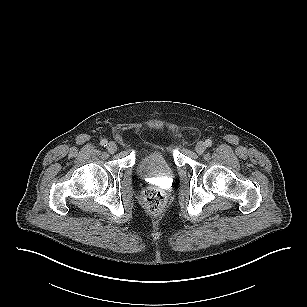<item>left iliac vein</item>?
I'll return each instance as SVG.
<instances>
[{"mask_svg": "<svg viewBox=\"0 0 307 307\" xmlns=\"http://www.w3.org/2000/svg\"><path fill=\"white\" fill-rule=\"evenodd\" d=\"M205 150H206V145H205V143H203V142L200 141V142H198V143L196 144V146H195V151H196L198 154L204 153Z\"/></svg>", "mask_w": 307, "mask_h": 307, "instance_id": "obj_1", "label": "left iliac vein"}]
</instances>
